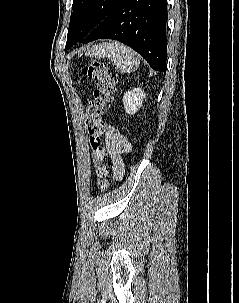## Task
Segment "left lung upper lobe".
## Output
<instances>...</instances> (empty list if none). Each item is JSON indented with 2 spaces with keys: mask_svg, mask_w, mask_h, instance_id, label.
Wrapping results in <instances>:
<instances>
[{
  "mask_svg": "<svg viewBox=\"0 0 239 303\" xmlns=\"http://www.w3.org/2000/svg\"><path fill=\"white\" fill-rule=\"evenodd\" d=\"M118 0H73L65 50L93 31L115 7Z\"/></svg>",
  "mask_w": 239,
  "mask_h": 303,
  "instance_id": "left-lung-upper-lobe-1",
  "label": "left lung upper lobe"
}]
</instances>
